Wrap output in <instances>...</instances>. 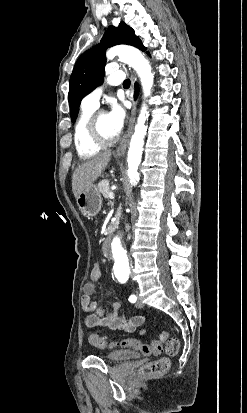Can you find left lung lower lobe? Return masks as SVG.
Instances as JSON below:
<instances>
[{
	"instance_id": "left-lung-lower-lobe-1",
	"label": "left lung lower lobe",
	"mask_w": 247,
	"mask_h": 413,
	"mask_svg": "<svg viewBox=\"0 0 247 413\" xmlns=\"http://www.w3.org/2000/svg\"><path fill=\"white\" fill-rule=\"evenodd\" d=\"M138 91V86H137V84H136V92Z\"/></svg>"
}]
</instances>
